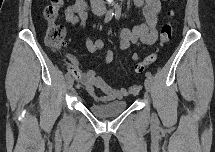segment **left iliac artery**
Listing matches in <instances>:
<instances>
[{"label": "left iliac artery", "mask_w": 215, "mask_h": 152, "mask_svg": "<svg viewBox=\"0 0 215 152\" xmlns=\"http://www.w3.org/2000/svg\"><path fill=\"white\" fill-rule=\"evenodd\" d=\"M120 16H121V9L118 8V9H116V11H115V18H116V19H119ZM146 77L149 78V79H151V80L153 79V75L151 74V72H146Z\"/></svg>", "instance_id": "1"}]
</instances>
